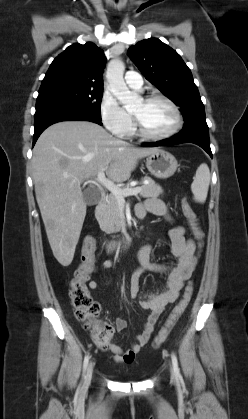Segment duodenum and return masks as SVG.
<instances>
[{
	"label": "duodenum",
	"instance_id": "obj_1",
	"mask_svg": "<svg viewBox=\"0 0 248 419\" xmlns=\"http://www.w3.org/2000/svg\"><path fill=\"white\" fill-rule=\"evenodd\" d=\"M106 202V192L102 191L100 194V199L99 202L97 204V209L96 212L98 215H101L103 207L105 205ZM136 215L138 218H142L143 217V209L141 206H138L136 209ZM132 243V240L130 237H123L121 239L118 240H109L106 242L105 246H106V250L109 253H113L116 251H126L128 250V248L130 247Z\"/></svg>",
	"mask_w": 248,
	"mask_h": 419
}]
</instances>
